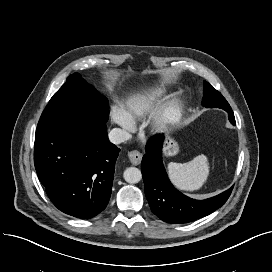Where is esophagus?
Here are the masks:
<instances>
[{"label":"esophagus","mask_w":272,"mask_h":272,"mask_svg":"<svg viewBox=\"0 0 272 272\" xmlns=\"http://www.w3.org/2000/svg\"><path fill=\"white\" fill-rule=\"evenodd\" d=\"M128 157L133 165H138L141 162L142 154L138 150H133L128 153Z\"/></svg>","instance_id":"1"}]
</instances>
